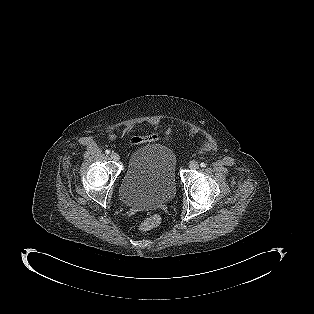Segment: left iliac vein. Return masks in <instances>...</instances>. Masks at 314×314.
I'll return each mask as SVG.
<instances>
[{
    "instance_id": "4c4485c4",
    "label": "left iliac vein",
    "mask_w": 314,
    "mask_h": 314,
    "mask_svg": "<svg viewBox=\"0 0 314 314\" xmlns=\"http://www.w3.org/2000/svg\"><path fill=\"white\" fill-rule=\"evenodd\" d=\"M189 168L191 169V170H197V169H199V164L197 163V162H191L190 164H189Z\"/></svg>"
}]
</instances>
